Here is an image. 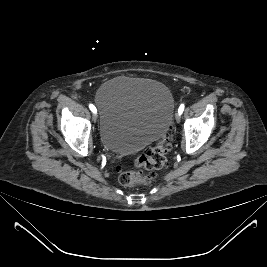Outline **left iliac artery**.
Returning a JSON list of instances; mask_svg holds the SVG:
<instances>
[{
  "label": "left iliac artery",
  "mask_w": 267,
  "mask_h": 267,
  "mask_svg": "<svg viewBox=\"0 0 267 267\" xmlns=\"http://www.w3.org/2000/svg\"><path fill=\"white\" fill-rule=\"evenodd\" d=\"M183 110H184V104H181L179 109H178V113L181 115Z\"/></svg>",
  "instance_id": "obj_1"
}]
</instances>
